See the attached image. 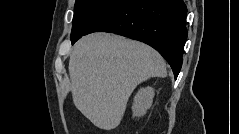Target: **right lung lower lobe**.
<instances>
[{
  "label": "right lung lower lobe",
  "instance_id": "obj_1",
  "mask_svg": "<svg viewBox=\"0 0 239 134\" xmlns=\"http://www.w3.org/2000/svg\"><path fill=\"white\" fill-rule=\"evenodd\" d=\"M186 14L183 0H119L83 35L104 31L142 41L165 58L177 78L187 38Z\"/></svg>",
  "mask_w": 239,
  "mask_h": 134
}]
</instances>
